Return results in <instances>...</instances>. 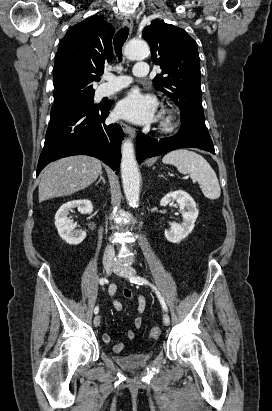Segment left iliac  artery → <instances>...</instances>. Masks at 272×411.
<instances>
[{
    "label": "left iliac artery",
    "mask_w": 272,
    "mask_h": 411,
    "mask_svg": "<svg viewBox=\"0 0 272 411\" xmlns=\"http://www.w3.org/2000/svg\"><path fill=\"white\" fill-rule=\"evenodd\" d=\"M129 279H130V282L135 283V284H139V285H144V284H145V285H150V286L155 290L156 295H157V297H158V299H159V301H160V303H161V305H162V308H163L166 312L168 311V308H167V306H166V303H165L162 295L160 294V292L157 290V288H156L154 285L150 284L145 278L139 277V276H138V277H136V276H130Z\"/></svg>",
    "instance_id": "1"
}]
</instances>
